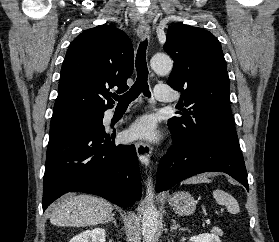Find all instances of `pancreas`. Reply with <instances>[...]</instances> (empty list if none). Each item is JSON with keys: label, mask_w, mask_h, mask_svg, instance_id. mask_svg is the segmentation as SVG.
I'll use <instances>...</instances> for the list:
<instances>
[{"label": "pancreas", "mask_w": 279, "mask_h": 242, "mask_svg": "<svg viewBox=\"0 0 279 242\" xmlns=\"http://www.w3.org/2000/svg\"><path fill=\"white\" fill-rule=\"evenodd\" d=\"M215 232L218 234V235H222V231L220 229H216Z\"/></svg>", "instance_id": "pancreas-1"}]
</instances>
